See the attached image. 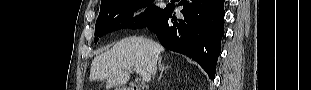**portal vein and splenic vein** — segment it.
Masks as SVG:
<instances>
[{
    "instance_id": "1",
    "label": "portal vein and splenic vein",
    "mask_w": 311,
    "mask_h": 90,
    "mask_svg": "<svg viewBox=\"0 0 311 90\" xmlns=\"http://www.w3.org/2000/svg\"><path fill=\"white\" fill-rule=\"evenodd\" d=\"M133 70L142 77L144 82H149L151 80V75L140 68H133Z\"/></svg>"
}]
</instances>
